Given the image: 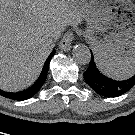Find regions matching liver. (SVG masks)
<instances>
[{
	"label": "liver",
	"instance_id": "1",
	"mask_svg": "<svg viewBox=\"0 0 135 135\" xmlns=\"http://www.w3.org/2000/svg\"><path fill=\"white\" fill-rule=\"evenodd\" d=\"M82 18L68 0H0V89L33 84L53 48L49 38Z\"/></svg>",
	"mask_w": 135,
	"mask_h": 135
}]
</instances>
